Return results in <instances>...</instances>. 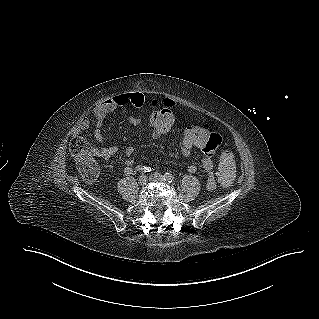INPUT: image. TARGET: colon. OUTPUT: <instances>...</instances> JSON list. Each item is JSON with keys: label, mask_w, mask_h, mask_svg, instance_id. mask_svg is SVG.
<instances>
[{"label": "colon", "mask_w": 319, "mask_h": 319, "mask_svg": "<svg viewBox=\"0 0 319 319\" xmlns=\"http://www.w3.org/2000/svg\"><path fill=\"white\" fill-rule=\"evenodd\" d=\"M176 119L173 113L150 112L146 124L150 132L160 135L173 129ZM182 152L191 154L201 151L204 143L210 140L211 134L206 126L200 122H191L178 133ZM221 139V138H220ZM73 156L78 162V171L84 181L94 182L99 175V166L96 162L97 149L84 138H75L70 146ZM236 171L233 153L226 149L220 155L219 172L223 183L234 179Z\"/></svg>", "instance_id": "5ec220e1"}]
</instances>
